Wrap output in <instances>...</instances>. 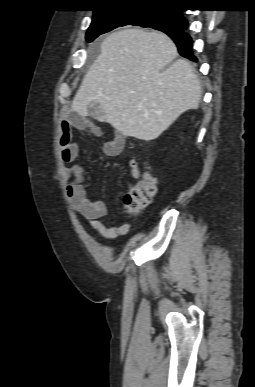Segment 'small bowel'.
Masks as SVG:
<instances>
[{
  "label": "small bowel",
  "mask_w": 255,
  "mask_h": 387,
  "mask_svg": "<svg viewBox=\"0 0 255 387\" xmlns=\"http://www.w3.org/2000/svg\"><path fill=\"white\" fill-rule=\"evenodd\" d=\"M85 130L92 128L87 117L80 114H73L62 119L60 124L59 146L61 158L64 162L69 163L75 160L79 152V145L74 140L73 129ZM125 147V137L120 133H115L114 138L103 144V152L107 156L120 155ZM130 175L134 179L140 177L138 162L131 158L128 161ZM67 178L66 194L70 201L72 209L86 220L92 229L102 236L114 238L118 235L125 234L130 229V224L124 221L119 226H106L100 219L107 213L105 202L99 198H92L88 195L85 186V174L80 165H74L66 168Z\"/></svg>",
  "instance_id": "1"
}]
</instances>
